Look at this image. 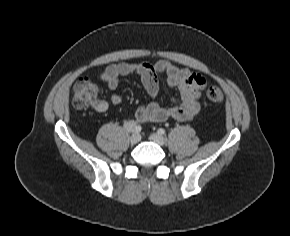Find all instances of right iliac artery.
Segmentation results:
<instances>
[{
    "mask_svg": "<svg viewBox=\"0 0 290 236\" xmlns=\"http://www.w3.org/2000/svg\"><path fill=\"white\" fill-rule=\"evenodd\" d=\"M141 129H142L141 126L137 125L135 130H133V131H136L137 133H139V132H141Z\"/></svg>",
    "mask_w": 290,
    "mask_h": 236,
    "instance_id": "1",
    "label": "right iliac artery"
}]
</instances>
